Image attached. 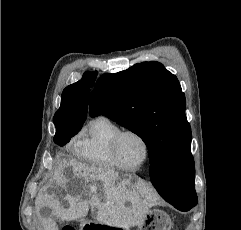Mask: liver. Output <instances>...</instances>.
<instances>
[{
    "label": "liver",
    "mask_w": 241,
    "mask_h": 230,
    "mask_svg": "<svg viewBox=\"0 0 241 230\" xmlns=\"http://www.w3.org/2000/svg\"><path fill=\"white\" fill-rule=\"evenodd\" d=\"M68 167L66 176L57 174L55 179L60 187L70 192L77 179L82 178L85 186L82 185L81 193L67 197L68 208L61 205L54 195L40 193L35 200L37 213L48 207L54 216L73 221L85 217L91 208L97 221L103 224L130 229L143 222L153 202L151 192L144 185H132L130 179L117 182L119 174L109 168L89 167L77 161H71ZM59 169L63 171V166ZM44 228L58 230L51 219L45 221Z\"/></svg>",
    "instance_id": "obj_1"
}]
</instances>
